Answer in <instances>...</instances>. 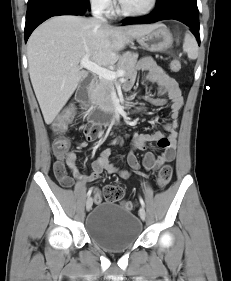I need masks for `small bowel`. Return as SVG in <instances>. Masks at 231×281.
<instances>
[{
  "label": "small bowel",
  "instance_id": "small-bowel-1",
  "mask_svg": "<svg viewBox=\"0 0 231 281\" xmlns=\"http://www.w3.org/2000/svg\"><path fill=\"white\" fill-rule=\"evenodd\" d=\"M138 69L146 72V81L154 82L158 86V96L146 99L156 106H163L168 101L171 105L170 120L165 126V133L155 132L135 136L132 141V149L127 155V163L134 171H139L141 167L151 171L173 161L175 158L177 129L183 107V97L178 83L159 67L151 57L141 58L138 63ZM134 82L135 74L133 73L126 80L125 88L127 90L131 89ZM80 131L83 135V141L78 144L79 148H85L89 142L101 135L100 127L91 124L81 125ZM151 142H155L162 150L159 156H155L148 150L147 144ZM136 150L144 152L142 164H140L135 155ZM110 155L109 149L103 150L100 156L92 162V172L90 174H83L77 169L76 155L73 152L69 153L66 160L55 161L53 170L59 183L66 188H71L73 185V179L68 175L66 166L70 169L72 176L83 183L95 181L103 172L118 173L120 176L128 178L131 173L114 166L110 161Z\"/></svg>",
  "mask_w": 231,
  "mask_h": 281
}]
</instances>
